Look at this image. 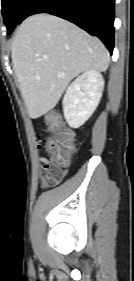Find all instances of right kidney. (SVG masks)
Returning <instances> with one entry per match:
<instances>
[{
	"label": "right kidney",
	"mask_w": 134,
	"mask_h": 281,
	"mask_svg": "<svg viewBox=\"0 0 134 281\" xmlns=\"http://www.w3.org/2000/svg\"><path fill=\"white\" fill-rule=\"evenodd\" d=\"M104 89L100 72L85 71L68 87L63 98V113L72 128L82 126L98 106Z\"/></svg>",
	"instance_id": "right-kidney-1"
}]
</instances>
